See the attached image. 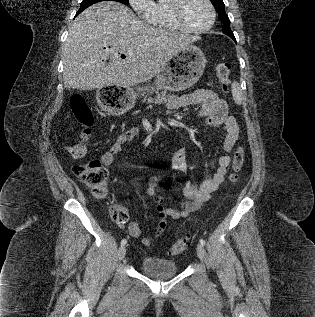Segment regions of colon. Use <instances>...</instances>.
<instances>
[{"instance_id": "colon-1", "label": "colon", "mask_w": 315, "mask_h": 317, "mask_svg": "<svg viewBox=\"0 0 315 317\" xmlns=\"http://www.w3.org/2000/svg\"><path fill=\"white\" fill-rule=\"evenodd\" d=\"M216 77L224 93H227L230 83V65L220 62L215 66ZM103 95H101L102 97ZM71 109L74 117L80 125V133L77 140L67 147L73 158L79 159L87 153V142L91 133L93 117L85 100L81 96H74L71 100ZM245 152L242 146H238L232 160V171L229 176L231 182H236L239 173L243 168ZM73 171L77 177L90 189L97 197H104L107 193V170L99 160H91L73 166ZM112 220L118 225H124L128 220L126 209L114 204L110 208ZM189 245L188 237L178 239L169 249L170 255L181 254Z\"/></svg>"}]
</instances>
